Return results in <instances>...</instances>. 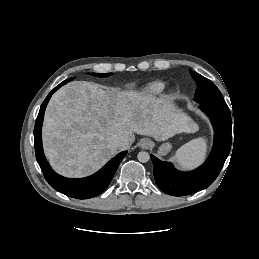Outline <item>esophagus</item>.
Here are the masks:
<instances>
[{
	"label": "esophagus",
	"mask_w": 259,
	"mask_h": 259,
	"mask_svg": "<svg viewBox=\"0 0 259 259\" xmlns=\"http://www.w3.org/2000/svg\"><path fill=\"white\" fill-rule=\"evenodd\" d=\"M139 146H140L142 149H149V148L152 146V142H151V140H149V139H142V140L139 142Z\"/></svg>",
	"instance_id": "34e87169"
}]
</instances>
